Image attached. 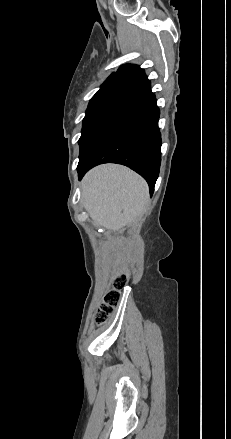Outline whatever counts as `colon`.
<instances>
[{
	"instance_id": "colon-1",
	"label": "colon",
	"mask_w": 231,
	"mask_h": 439,
	"mask_svg": "<svg viewBox=\"0 0 231 439\" xmlns=\"http://www.w3.org/2000/svg\"><path fill=\"white\" fill-rule=\"evenodd\" d=\"M128 281V275L126 273L119 274L113 284V288L109 290L104 301L99 305L96 315L95 322L97 325H103L112 315L114 308L118 305L121 298V289L124 288Z\"/></svg>"
}]
</instances>
